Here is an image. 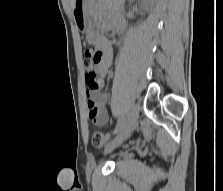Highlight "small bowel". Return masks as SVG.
<instances>
[{
	"instance_id": "small-bowel-1",
	"label": "small bowel",
	"mask_w": 223,
	"mask_h": 191,
	"mask_svg": "<svg viewBox=\"0 0 223 191\" xmlns=\"http://www.w3.org/2000/svg\"><path fill=\"white\" fill-rule=\"evenodd\" d=\"M125 23L118 20L114 24V31L121 34L124 30ZM89 39L93 41L99 48V62L97 71L99 73L98 85L90 87L87 90V108L89 118L95 125L103 126L109 120V114L105 108L106 95L102 92L105 87V76L108 73L113 59V50L109 41L105 36L98 32H92Z\"/></svg>"
}]
</instances>
